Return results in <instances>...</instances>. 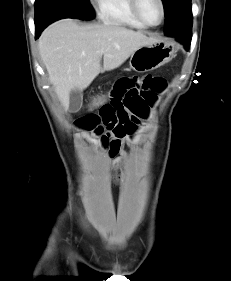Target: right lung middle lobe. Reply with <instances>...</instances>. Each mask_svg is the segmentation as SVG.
<instances>
[{
    "mask_svg": "<svg viewBox=\"0 0 231 281\" xmlns=\"http://www.w3.org/2000/svg\"><path fill=\"white\" fill-rule=\"evenodd\" d=\"M35 18L52 7L62 8L70 13L71 18L91 20L94 18V11L88 0H36Z\"/></svg>",
    "mask_w": 231,
    "mask_h": 281,
    "instance_id": "obj_1",
    "label": "right lung middle lobe"
}]
</instances>
